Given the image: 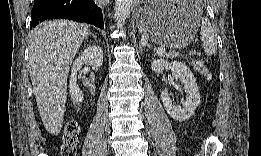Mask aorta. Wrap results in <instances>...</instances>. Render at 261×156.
<instances>
[{
	"label": "aorta",
	"mask_w": 261,
	"mask_h": 156,
	"mask_svg": "<svg viewBox=\"0 0 261 156\" xmlns=\"http://www.w3.org/2000/svg\"><path fill=\"white\" fill-rule=\"evenodd\" d=\"M133 6L132 0L115 1V21L118 28H122L126 19L129 17Z\"/></svg>",
	"instance_id": "aorta-1"
}]
</instances>
